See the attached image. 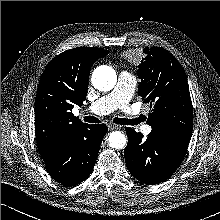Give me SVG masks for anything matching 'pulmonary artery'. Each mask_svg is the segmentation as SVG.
<instances>
[{
    "mask_svg": "<svg viewBox=\"0 0 220 220\" xmlns=\"http://www.w3.org/2000/svg\"><path fill=\"white\" fill-rule=\"evenodd\" d=\"M136 85L137 79L133 74L126 71L120 72L113 90L91 103L88 111L97 116L106 115L115 110L128 111ZM142 131L150 133L152 128L144 125Z\"/></svg>",
    "mask_w": 220,
    "mask_h": 220,
    "instance_id": "obj_1",
    "label": "pulmonary artery"
}]
</instances>
